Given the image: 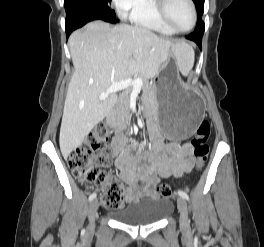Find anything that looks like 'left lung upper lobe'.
<instances>
[{"label": "left lung upper lobe", "mask_w": 264, "mask_h": 247, "mask_svg": "<svg viewBox=\"0 0 264 247\" xmlns=\"http://www.w3.org/2000/svg\"><path fill=\"white\" fill-rule=\"evenodd\" d=\"M193 2L196 5V10H197V14H198V21L201 23V26H200V23L197 22V26H196L195 31L203 30L204 29V23L202 22V14H203V9H204V0H193Z\"/></svg>", "instance_id": "obj_1"}]
</instances>
